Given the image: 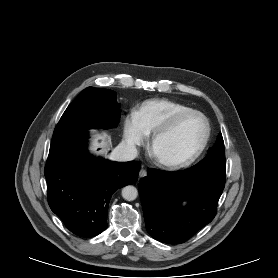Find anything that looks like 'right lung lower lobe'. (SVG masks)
Masks as SVG:
<instances>
[{
	"mask_svg": "<svg viewBox=\"0 0 278 278\" xmlns=\"http://www.w3.org/2000/svg\"><path fill=\"white\" fill-rule=\"evenodd\" d=\"M87 132L50 145L45 166L48 203L66 227L81 237H94L107 228L112 194L134 183L141 164L118 163L90 156Z\"/></svg>",
	"mask_w": 278,
	"mask_h": 278,
	"instance_id": "obj_1",
	"label": "right lung lower lobe"
}]
</instances>
